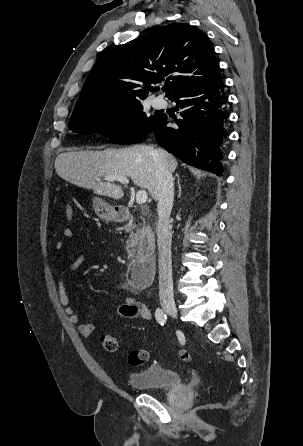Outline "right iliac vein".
<instances>
[{
  "instance_id": "obj_1",
  "label": "right iliac vein",
  "mask_w": 303,
  "mask_h": 446,
  "mask_svg": "<svg viewBox=\"0 0 303 446\" xmlns=\"http://www.w3.org/2000/svg\"><path fill=\"white\" fill-rule=\"evenodd\" d=\"M163 309L170 314L173 318L177 317V308L173 303H164Z\"/></svg>"
}]
</instances>
